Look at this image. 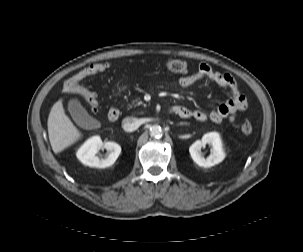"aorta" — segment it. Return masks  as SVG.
Instances as JSON below:
<instances>
[{"instance_id": "aorta-1", "label": "aorta", "mask_w": 303, "mask_h": 252, "mask_svg": "<svg viewBox=\"0 0 303 252\" xmlns=\"http://www.w3.org/2000/svg\"><path fill=\"white\" fill-rule=\"evenodd\" d=\"M163 134L162 128L159 125H152L150 127V135L155 138L161 137Z\"/></svg>"}]
</instances>
